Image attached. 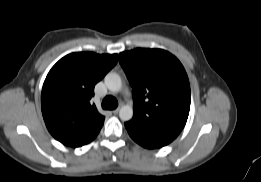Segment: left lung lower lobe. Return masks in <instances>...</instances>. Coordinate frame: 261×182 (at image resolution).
<instances>
[{"label": "left lung lower lobe", "mask_w": 261, "mask_h": 182, "mask_svg": "<svg viewBox=\"0 0 261 182\" xmlns=\"http://www.w3.org/2000/svg\"><path fill=\"white\" fill-rule=\"evenodd\" d=\"M125 127L131 136V138L137 142L139 145L148 148V149H154V148H160L163 147L167 144H169V141L155 138V137H150V136H145L138 134L130 129V127L125 123Z\"/></svg>", "instance_id": "left-lung-lower-lobe-1"}]
</instances>
